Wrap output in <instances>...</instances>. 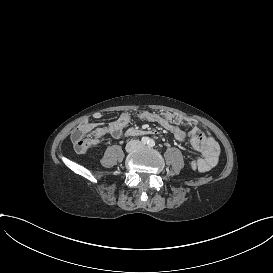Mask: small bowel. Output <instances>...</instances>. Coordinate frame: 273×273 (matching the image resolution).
Returning a JSON list of instances; mask_svg holds the SVG:
<instances>
[{
  "mask_svg": "<svg viewBox=\"0 0 273 273\" xmlns=\"http://www.w3.org/2000/svg\"><path fill=\"white\" fill-rule=\"evenodd\" d=\"M102 117L101 112H95L92 119L85 120L94 125V132L90 136L94 137L97 143L106 134L115 138L120 137L123 130L137 118L161 125L169 130L179 142L189 140L191 146L203 156L199 160L198 170L200 172H207L217 164L220 152L219 144L211 135L206 134L194 119L188 116L172 112L142 111L136 114L124 112L108 124L100 122ZM185 126H189V128H185Z\"/></svg>",
  "mask_w": 273,
  "mask_h": 273,
  "instance_id": "c3829d8e",
  "label": "small bowel"
}]
</instances>
